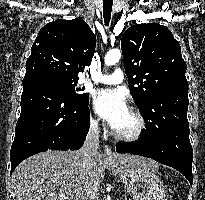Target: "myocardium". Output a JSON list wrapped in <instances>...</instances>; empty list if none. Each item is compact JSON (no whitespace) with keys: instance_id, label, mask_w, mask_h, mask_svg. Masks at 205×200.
Segmentation results:
<instances>
[{"instance_id":"1","label":"myocardium","mask_w":205,"mask_h":200,"mask_svg":"<svg viewBox=\"0 0 205 200\" xmlns=\"http://www.w3.org/2000/svg\"><path fill=\"white\" fill-rule=\"evenodd\" d=\"M129 111L136 119V128L130 133H120L116 130H113V135L115 138L121 141L133 142L139 140L144 134L146 129V121L142 113L137 108L131 107Z\"/></svg>"}]
</instances>
